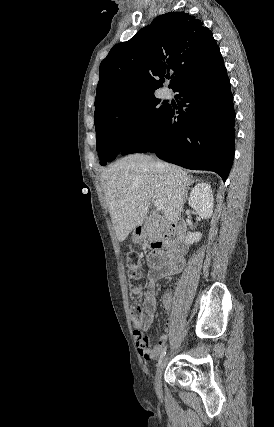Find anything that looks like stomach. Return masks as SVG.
Listing matches in <instances>:
<instances>
[{"label": "stomach", "instance_id": "0dacf381", "mask_svg": "<svg viewBox=\"0 0 274 427\" xmlns=\"http://www.w3.org/2000/svg\"><path fill=\"white\" fill-rule=\"evenodd\" d=\"M142 235H137V233H133V239H141Z\"/></svg>", "mask_w": 274, "mask_h": 427}]
</instances>
